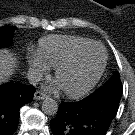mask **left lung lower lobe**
Here are the masks:
<instances>
[{"label":"left lung lower lobe","instance_id":"1","mask_svg":"<svg viewBox=\"0 0 135 135\" xmlns=\"http://www.w3.org/2000/svg\"><path fill=\"white\" fill-rule=\"evenodd\" d=\"M122 87L102 86L78 102H61L51 120L54 135H105L114 119Z\"/></svg>","mask_w":135,"mask_h":135}]
</instances>
